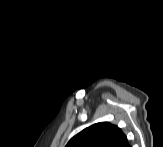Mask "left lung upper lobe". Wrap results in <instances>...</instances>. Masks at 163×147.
<instances>
[{"instance_id": "5c2ea615", "label": "left lung upper lobe", "mask_w": 163, "mask_h": 147, "mask_svg": "<svg viewBox=\"0 0 163 147\" xmlns=\"http://www.w3.org/2000/svg\"><path fill=\"white\" fill-rule=\"evenodd\" d=\"M123 135L116 125L100 122L75 135L66 147H116Z\"/></svg>"}]
</instances>
